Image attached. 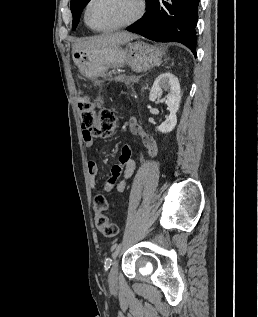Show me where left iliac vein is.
Segmentation results:
<instances>
[{"instance_id": "left-iliac-vein-1", "label": "left iliac vein", "mask_w": 258, "mask_h": 317, "mask_svg": "<svg viewBox=\"0 0 258 317\" xmlns=\"http://www.w3.org/2000/svg\"><path fill=\"white\" fill-rule=\"evenodd\" d=\"M120 266V263H119V261L117 260L116 261V263L115 264H113V266H112V271L109 273V278H113V279H116L117 277H118V271H117V269H118V267Z\"/></svg>"}]
</instances>
